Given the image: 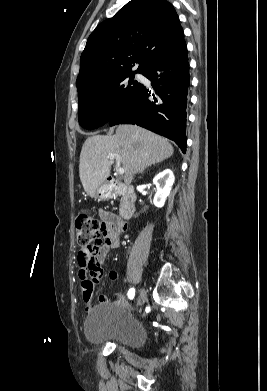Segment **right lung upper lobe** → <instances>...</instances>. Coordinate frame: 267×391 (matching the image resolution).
<instances>
[{
	"mask_svg": "<svg viewBox=\"0 0 267 391\" xmlns=\"http://www.w3.org/2000/svg\"><path fill=\"white\" fill-rule=\"evenodd\" d=\"M185 44L178 15L166 0H131L89 36L81 55L78 94L93 82L144 69Z\"/></svg>",
	"mask_w": 267,
	"mask_h": 391,
	"instance_id": "cb5924a9",
	"label": "right lung upper lobe"
}]
</instances>
